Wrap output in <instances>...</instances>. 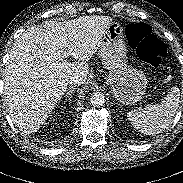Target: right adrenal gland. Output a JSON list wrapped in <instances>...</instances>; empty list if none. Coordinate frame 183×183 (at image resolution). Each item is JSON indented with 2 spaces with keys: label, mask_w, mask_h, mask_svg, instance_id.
<instances>
[{
  "label": "right adrenal gland",
  "mask_w": 183,
  "mask_h": 183,
  "mask_svg": "<svg viewBox=\"0 0 183 183\" xmlns=\"http://www.w3.org/2000/svg\"><path fill=\"white\" fill-rule=\"evenodd\" d=\"M74 92H75V87L74 86L69 87L68 92L66 93L65 97L66 98L69 97L71 99Z\"/></svg>",
  "instance_id": "2a0ac1e0"
}]
</instances>
